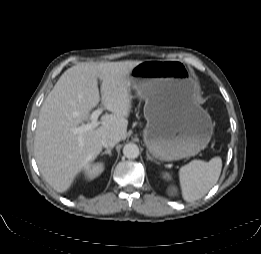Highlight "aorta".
<instances>
[{"mask_svg":"<svg viewBox=\"0 0 261 254\" xmlns=\"http://www.w3.org/2000/svg\"><path fill=\"white\" fill-rule=\"evenodd\" d=\"M123 154L128 159H135L139 156V147L134 143H128L123 147Z\"/></svg>","mask_w":261,"mask_h":254,"instance_id":"762f6f07","label":"aorta"}]
</instances>
